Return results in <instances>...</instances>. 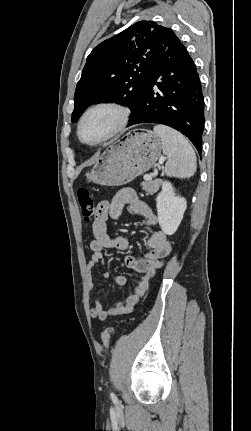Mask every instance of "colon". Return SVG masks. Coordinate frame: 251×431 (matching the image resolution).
<instances>
[{
    "label": "colon",
    "mask_w": 251,
    "mask_h": 431,
    "mask_svg": "<svg viewBox=\"0 0 251 431\" xmlns=\"http://www.w3.org/2000/svg\"><path fill=\"white\" fill-rule=\"evenodd\" d=\"M77 201L84 221L89 222L96 214V206L93 196L86 188L77 191ZM113 327L108 326L101 334V341L105 348H108L111 341Z\"/></svg>",
    "instance_id": "1"
}]
</instances>
